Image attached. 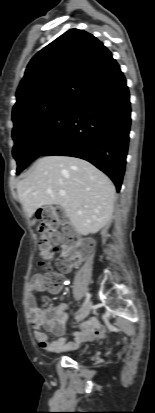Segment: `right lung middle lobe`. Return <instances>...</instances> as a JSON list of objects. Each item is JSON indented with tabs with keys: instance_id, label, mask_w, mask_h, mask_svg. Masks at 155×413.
Here are the masks:
<instances>
[{
	"instance_id": "1",
	"label": "right lung middle lobe",
	"mask_w": 155,
	"mask_h": 413,
	"mask_svg": "<svg viewBox=\"0 0 155 413\" xmlns=\"http://www.w3.org/2000/svg\"><path fill=\"white\" fill-rule=\"evenodd\" d=\"M75 105L59 106L13 129L15 145L12 153L18 165L16 174L39 157L63 133Z\"/></svg>"
}]
</instances>
